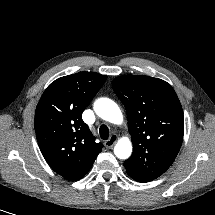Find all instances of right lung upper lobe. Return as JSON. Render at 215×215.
Listing matches in <instances>:
<instances>
[{"label":"right lung upper lobe","instance_id":"1","mask_svg":"<svg viewBox=\"0 0 215 215\" xmlns=\"http://www.w3.org/2000/svg\"><path fill=\"white\" fill-rule=\"evenodd\" d=\"M107 76L79 72L58 78L44 91L35 112L39 148L49 166L70 181L92 167L102 144L96 143L82 112Z\"/></svg>","mask_w":215,"mask_h":215}]
</instances>
